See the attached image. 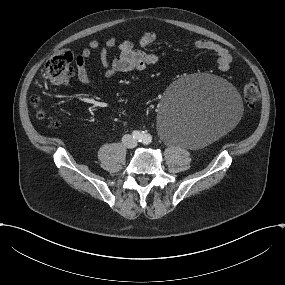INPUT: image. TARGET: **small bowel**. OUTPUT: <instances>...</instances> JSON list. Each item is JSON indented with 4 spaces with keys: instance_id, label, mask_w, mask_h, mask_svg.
<instances>
[{
    "instance_id": "obj_1",
    "label": "small bowel",
    "mask_w": 285,
    "mask_h": 285,
    "mask_svg": "<svg viewBox=\"0 0 285 285\" xmlns=\"http://www.w3.org/2000/svg\"><path fill=\"white\" fill-rule=\"evenodd\" d=\"M154 40L155 35L151 32H147L141 37L138 43L139 48L129 40L118 43L115 37L109 38L104 44H101L97 40H91L75 58L77 79L85 86L96 87L87 69V61L94 51L99 52L101 64L105 69V76L108 78L117 74L153 67L159 61L158 55L147 53L143 49ZM194 46L197 49L215 53L218 57V68L221 71H228L230 69L232 55L227 48L207 39L196 40ZM113 50L117 51L115 57H111ZM66 83L67 81L64 82V84Z\"/></svg>"
}]
</instances>
